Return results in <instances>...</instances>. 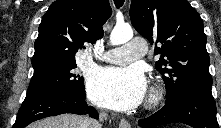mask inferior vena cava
<instances>
[{"label":"inferior vena cava","mask_w":221,"mask_h":128,"mask_svg":"<svg viewBox=\"0 0 221 128\" xmlns=\"http://www.w3.org/2000/svg\"><path fill=\"white\" fill-rule=\"evenodd\" d=\"M84 128H101V124L94 119H86L84 122Z\"/></svg>","instance_id":"1"}]
</instances>
